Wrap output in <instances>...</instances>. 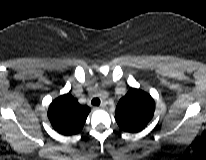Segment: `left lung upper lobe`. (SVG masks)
<instances>
[{
	"mask_svg": "<svg viewBox=\"0 0 206 160\" xmlns=\"http://www.w3.org/2000/svg\"><path fill=\"white\" fill-rule=\"evenodd\" d=\"M154 111L155 102L150 94L131 88L118 102L115 119L123 131L137 133L151 121Z\"/></svg>",
	"mask_w": 206,
	"mask_h": 160,
	"instance_id": "5c2ea615",
	"label": "left lung upper lobe"
}]
</instances>
